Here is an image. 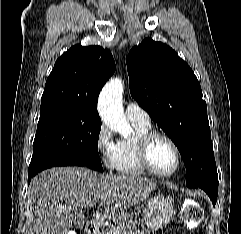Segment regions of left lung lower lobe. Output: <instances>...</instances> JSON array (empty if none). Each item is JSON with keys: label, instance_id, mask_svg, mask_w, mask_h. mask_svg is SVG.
<instances>
[{"label": "left lung lower lobe", "instance_id": "obj_1", "mask_svg": "<svg viewBox=\"0 0 241 234\" xmlns=\"http://www.w3.org/2000/svg\"><path fill=\"white\" fill-rule=\"evenodd\" d=\"M200 189H202L203 191H205L208 194V196L212 200L213 205L215 206L216 201H217L218 190L213 191V190H210V189L204 188V187L200 188Z\"/></svg>", "mask_w": 241, "mask_h": 234}]
</instances>
